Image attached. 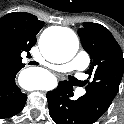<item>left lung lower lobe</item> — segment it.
Wrapping results in <instances>:
<instances>
[{
	"label": "left lung lower lobe",
	"instance_id": "0a47b994",
	"mask_svg": "<svg viewBox=\"0 0 124 124\" xmlns=\"http://www.w3.org/2000/svg\"><path fill=\"white\" fill-rule=\"evenodd\" d=\"M73 87L61 81L56 89L46 95L49 114L56 124H92L95 120L82 97L73 100Z\"/></svg>",
	"mask_w": 124,
	"mask_h": 124
}]
</instances>
